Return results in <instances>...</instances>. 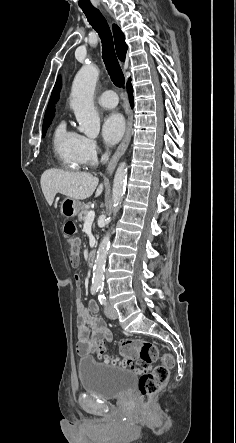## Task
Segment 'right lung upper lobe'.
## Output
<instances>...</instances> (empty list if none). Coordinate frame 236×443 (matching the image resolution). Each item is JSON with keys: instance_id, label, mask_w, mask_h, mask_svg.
<instances>
[{"instance_id": "cb5924a9", "label": "right lung upper lobe", "mask_w": 236, "mask_h": 443, "mask_svg": "<svg viewBox=\"0 0 236 443\" xmlns=\"http://www.w3.org/2000/svg\"><path fill=\"white\" fill-rule=\"evenodd\" d=\"M113 35H114L115 48H116L117 55L121 61H124L125 54L127 51V45L125 43V36L122 33V31L120 30V28L115 24L113 25ZM60 89H61V81H60V78H58V80L53 88V91H52V94H51V97L49 100L48 108L45 112L44 122L53 119L54 112H55L54 105L59 99Z\"/></svg>"}]
</instances>
